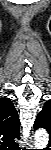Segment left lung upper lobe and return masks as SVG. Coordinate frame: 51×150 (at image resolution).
I'll use <instances>...</instances> for the list:
<instances>
[{"label":"left lung upper lobe","instance_id":"1","mask_svg":"<svg viewBox=\"0 0 51 150\" xmlns=\"http://www.w3.org/2000/svg\"><path fill=\"white\" fill-rule=\"evenodd\" d=\"M35 129L45 128L48 133H51V100H48L38 114L35 124Z\"/></svg>","mask_w":51,"mask_h":150}]
</instances>
